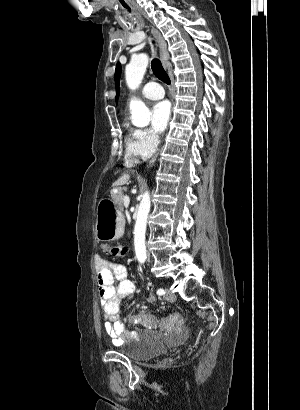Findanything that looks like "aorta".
Here are the masks:
<instances>
[{
  "label": "aorta",
  "mask_w": 300,
  "mask_h": 410,
  "mask_svg": "<svg viewBox=\"0 0 300 410\" xmlns=\"http://www.w3.org/2000/svg\"><path fill=\"white\" fill-rule=\"evenodd\" d=\"M148 60L149 59L146 54H138L133 56L130 63L126 66L125 78L127 86L130 89L135 90L140 86L148 66ZM130 111L133 125L137 127H146L149 125L151 113L141 100H132L130 102ZM150 207V193L148 191H145L141 195V201L139 204L137 219L134 227L135 253L137 260L141 264L145 263L147 259L145 233Z\"/></svg>",
  "instance_id": "762f6f07"
}]
</instances>
